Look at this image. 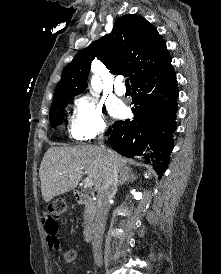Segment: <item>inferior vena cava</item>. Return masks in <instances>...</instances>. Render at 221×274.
I'll return each mask as SVG.
<instances>
[{"instance_id": "inferior-vena-cava-1", "label": "inferior vena cava", "mask_w": 221, "mask_h": 274, "mask_svg": "<svg viewBox=\"0 0 221 274\" xmlns=\"http://www.w3.org/2000/svg\"><path fill=\"white\" fill-rule=\"evenodd\" d=\"M105 164V176L102 185L98 189V206L93 224L92 247L94 255L97 257L101 255L102 236L107 219L109 200L114 197L118 185V166L112 155L107 154L105 156Z\"/></svg>"}]
</instances>
